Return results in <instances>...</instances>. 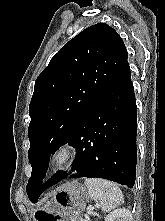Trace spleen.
<instances>
[{
  "mask_svg": "<svg viewBox=\"0 0 165 221\" xmlns=\"http://www.w3.org/2000/svg\"><path fill=\"white\" fill-rule=\"evenodd\" d=\"M84 184L90 198L99 203L102 211L110 212L121 205L123 195L115 183L99 178H88Z\"/></svg>",
  "mask_w": 165,
  "mask_h": 221,
  "instance_id": "spleen-1",
  "label": "spleen"
}]
</instances>
